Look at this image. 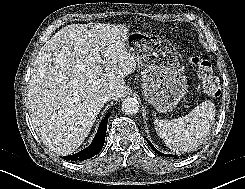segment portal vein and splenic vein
<instances>
[{
	"label": "portal vein and splenic vein",
	"instance_id": "18ae733b",
	"mask_svg": "<svg viewBox=\"0 0 245 189\" xmlns=\"http://www.w3.org/2000/svg\"><path fill=\"white\" fill-rule=\"evenodd\" d=\"M92 55L95 57L96 61L99 64H103L104 63V61L101 59L100 55L94 49L92 50Z\"/></svg>",
	"mask_w": 245,
	"mask_h": 189
}]
</instances>
